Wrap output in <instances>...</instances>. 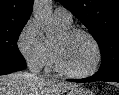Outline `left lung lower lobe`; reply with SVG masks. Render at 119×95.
Here are the masks:
<instances>
[{
    "mask_svg": "<svg viewBox=\"0 0 119 95\" xmlns=\"http://www.w3.org/2000/svg\"><path fill=\"white\" fill-rule=\"evenodd\" d=\"M69 81H73V82L115 81L119 83V74H114L109 77H104L96 73L95 75L85 79H78V80L69 79Z\"/></svg>",
    "mask_w": 119,
    "mask_h": 95,
    "instance_id": "obj_1",
    "label": "left lung lower lobe"
}]
</instances>
